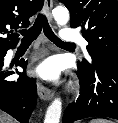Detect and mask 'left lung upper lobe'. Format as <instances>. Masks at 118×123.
I'll use <instances>...</instances> for the list:
<instances>
[{
	"label": "left lung upper lobe",
	"instance_id": "obj_1",
	"mask_svg": "<svg viewBox=\"0 0 118 123\" xmlns=\"http://www.w3.org/2000/svg\"><path fill=\"white\" fill-rule=\"evenodd\" d=\"M71 14V27L80 28L89 43L87 50L92 63L78 62L91 70L94 62H118V2L117 0H60Z\"/></svg>",
	"mask_w": 118,
	"mask_h": 123
}]
</instances>
